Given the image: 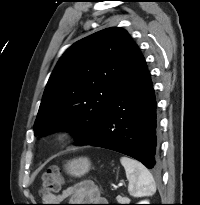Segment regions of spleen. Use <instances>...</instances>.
Returning a JSON list of instances; mask_svg holds the SVG:
<instances>
[{
  "label": "spleen",
  "instance_id": "1",
  "mask_svg": "<svg viewBox=\"0 0 200 205\" xmlns=\"http://www.w3.org/2000/svg\"><path fill=\"white\" fill-rule=\"evenodd\" d=\"M120 161L125 168L126 177L129 181L128 192L131 196H151L156 192L154 178L141 162L125 156H122Z\"/></svg>",
  "mask_w": 200,
  "mask_h": 205
}]
</instances>
